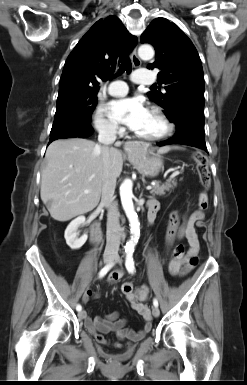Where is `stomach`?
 <instances>
[{
	"mask_svg": "<svg viewBox=\"0 0 247 385\" xmlns=\"http://www.w3.org/2000/svg\"><path fill=\"white\" fill-rule=\"evenodd\" d=\"M128 159L134 168L143 175L154 177L163 167L160 156L153 154L147 147L139 146L128 152Z\"/></svg>",
	"mask_w": 247,
	"mask_h": 385,
	"instance_id": "0dacf381",
	"label": "stomach"
}]
</instances>
